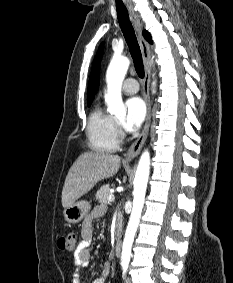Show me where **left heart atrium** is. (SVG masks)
I'll list each match as a JSON object with an SVG mask.
<instances>
[{"instance_id":"1","label":"left heart atrium","mask_w":233,"mask_h":283,"mask_svg":"<svg viewBox=\"0 0 233 283\" xmlns=\"http://www.w3.org/2000/svg\"><path fill=\"white\" fill-rule=\"evenodd\" d=\"M126 109L125 127L128 131L136 130L145 119V103L140 97H131L126 101Z\"/></svg>"}]
</instances>
